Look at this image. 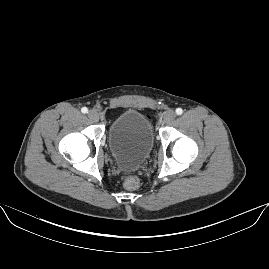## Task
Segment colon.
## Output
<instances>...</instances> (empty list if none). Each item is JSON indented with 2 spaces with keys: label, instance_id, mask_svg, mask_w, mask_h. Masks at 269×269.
<instances>
[{
  "label": "colon",
  "instance_id": "1",
  "mask_svg": "<svg viewBox=\"0 0 269 269\" xmlns=\"http://www.w3.org/2000/svg\"><path fill=\"white\" fill-rule=\"evenodd\" d=\"M123 185L128 190H136L140 188L142 181L140 177L133 174H125L122 177Z\"/></svg>",
  "mask_w": 269,
  "mask_h": 269
}]
</instances>
